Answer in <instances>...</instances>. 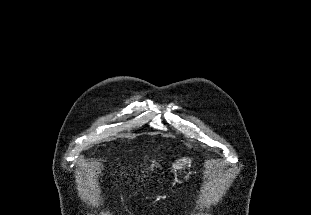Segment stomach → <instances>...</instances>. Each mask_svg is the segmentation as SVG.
<instances>
[{
  "label": "stomach",
  "mask_w": 311,
  "mask_h": 215,
  "mask_svg": "<svg viewBox=\"0 0 311 215\" xmlns=\"http://www.w3.org/2000/svg\"><path fill=\"white\" fill-rule=\"evenodd\" d=\"M192 159L188 157H180L178 158L174 163L171 165V172L174 173L175 176H177V173L181 172L185 167H191L192 166Z\"/></svg>",
  "instance_id": "0dacf381"
}]
</instances>
